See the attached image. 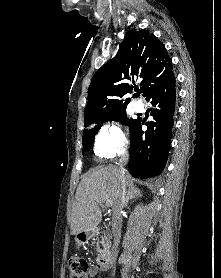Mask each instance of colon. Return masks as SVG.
Segmentation results:
<instances>
[{
  "label": "colon",
  "mask_w": 221,
  "mask_h": 278,
  "mask_svg": "<svg viewBox=\"0 0 221 278\" xmlns=\"http://www.w3.org/2000/svg\"><path fill=\"white\" fill-rule=\"evenodd\" d=\"M71 278H86L90 270L89 262L84 258H72L68 263Z\"/></svg>",
  "instance_id": "colon-1"
}]
</instances>
